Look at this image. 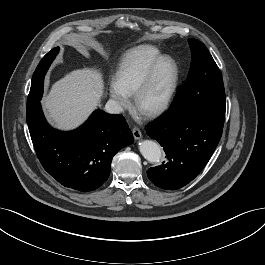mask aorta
Returning <instances> with one entry per match:
<instances>
[{
  "label": "aorta",
  "instance_id": "aorta-1",
  "mask_svg": "<svg viewBox=\"0 0 265 265\" xmlns=\"http://www.w3.org/2000/svg\"><path fill=\"white\" fill-rule=\"evenodd\" d=\"M139 150L150 163H157L161 159V147L154 141L144 140L139 143Z\"/></svg>",
  "mask_w": 265,
  "mask_h": 265
}]
</instances>
